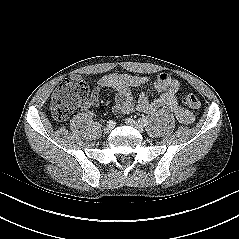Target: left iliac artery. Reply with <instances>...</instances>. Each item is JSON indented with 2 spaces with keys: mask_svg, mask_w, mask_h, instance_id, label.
Wrapping results in <instances>:
<instances>
[{
  "mask_svg": "<svg viewBox=\"0 0 239 239\" xmlns=\"http://www.w3.org/2000/svg\"><path fill=\"white\" fill-rule=\"evenodd\" d=\"M138 123H139L140 125H142V126H147L149 122H148V120L145 119V118H140V119L138 120Z\"/></svg>",
  "mask_w": 239,
  "mask_h": 239,
  "instance_id": "44dca946",
  "label": "left iliac artery"
}]
</instances>
